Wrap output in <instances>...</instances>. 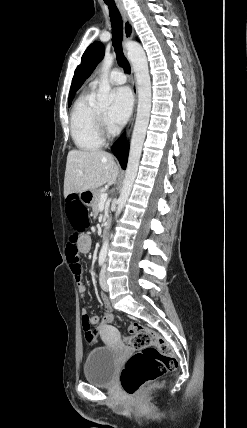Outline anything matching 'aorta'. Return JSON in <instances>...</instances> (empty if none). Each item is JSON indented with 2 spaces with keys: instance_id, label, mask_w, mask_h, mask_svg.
<instances>
[{
  "instance_id": "762f6f07",
  "label": "aorta",
  "mask_w": 247,
  "mask_h": 428,
  "mask_svg": "<svg viewBox=\"0 0 247 428\" xmlns=\"http://www.w3.org/2000/svg\"><path fill=\"white\" fill-rule=\"evenodd\" d=\"M127 57L133 66L136 76L138 107L130 144L125 178L123 181L121 194L117 200L115 218L120 215L131 193L138 171L142 147L145 140L151 111V82L145 52L140 45L130 44L127 46ZM113 61L114 55L109 53L105 54L102 61V77L97 93V104L101 108L108 107L112 100L110 95L108 74L112 67ZM108 247L109 240L106 238L102 245L100 256L106 257Z\"/></svg>"
}]
</instances>
